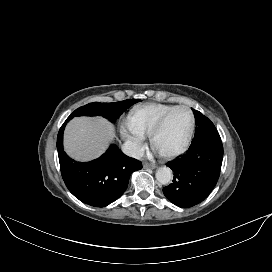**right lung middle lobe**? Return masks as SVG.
I'll list each match as a JSON object with an SVG mask.
<instances>
[{"label":"right lung middle lobe","instance_id":"obj_1","mask_svg":"<svg viewBox=\"0 0 272 272\" xmlns=\"http://www.w3.org/2000/svg\"><path fill=\"white\" fill-rule=\"evenodd\" d=\"M139 99H128L113 103L94 102L76 109L68 118L75 116H103L110 121H115L130 105L139 102Z\"/></svg>","mask_w":272,"mask_h":272}]
</instances>
